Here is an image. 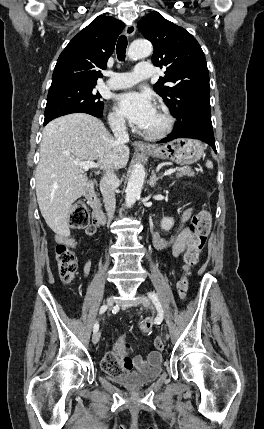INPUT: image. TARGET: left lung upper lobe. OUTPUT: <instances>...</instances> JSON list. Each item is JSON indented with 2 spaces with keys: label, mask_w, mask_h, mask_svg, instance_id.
I'll use <instances>...</instances> for the list:
<instances>
[{
  "label": "left lung upper lobe",
  "mask_w": 264,
  "mask_h": 429,
  "mask_svg": "<svg viewBox=\"0 0 264 429\" xmlns=\"http://www.w3.org/2000/svg\"><path fill=\"white\" fill-rule=\"evenodd\" d=\"M138 28L154 46V65L166 69L153 88L177 123L187 120L195 109L210 108L209 72L197 40L158 12L143 17Z\"/></svg>",
  "instance_id": "1"
}]
</instances>
